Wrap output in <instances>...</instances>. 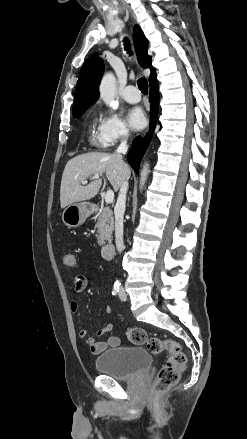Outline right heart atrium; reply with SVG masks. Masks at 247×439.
Here are the masks:
<instances>
[{
	"label": "right heart atrium",
	"instance_id": "d8ad5b80",
	"mask_svg": "<svg viewBox=\"0 0 247 439\" xmlns=\"http://www.w3.org/2000/svg\"><path fill=\"white\" fill-rule=\"evenodd\" d=\"M97 136L102 146L111 147L127 138L129 129L117 114L107 112L100 118Z\"/></svg>",
	"mask_w": 247,
	"mask_h": 439
}]
</instances>
